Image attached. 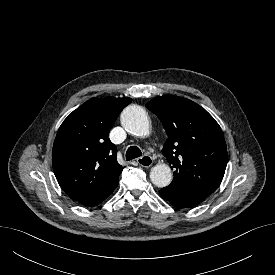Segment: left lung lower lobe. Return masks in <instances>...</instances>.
I'll use <instances>...</instances> for the list:
<instances>
[{
  "instance_id": "left-lung-lower-lobe-1",
  "label": "left lung lower lobe",
  "mask_w": 275,
  "mask_h": 275,
  "mask_svg": "<svg viewBox=\"0 0 275 275\" xmlns=\"http://www.w3.org/2000/svg\"><path fill=\"white\" fill-rule=\"evenodd\" d=\"M159 192L163 198L179 208L195 206L210 195L201 189L193 187L171 188L167 186Z\"/></svg>"
}]
</instances>
